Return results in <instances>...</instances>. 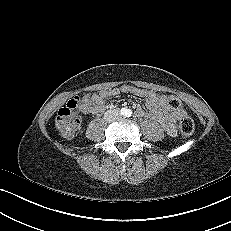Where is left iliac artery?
I'll use <instances>...</instances> for the list:
<instances>
[{
	"label": "left iliac artery",
	"mask_w": 231,
	"mask_h": 231,
	"mask_svg": "<svg viewBox=\"0 0 231 231\" xmlns=\"http://www.w3.org/2000/svg\"><path fill=\"white\" fill-rule=\"evenodd\" d=\"M131 115H132V111L128 109L127 112H126V116L130 117Z\"/></svg>",
	"instance_id": "left-iliac-artery-1"
}]
</instances>
